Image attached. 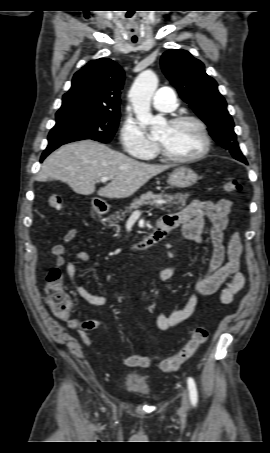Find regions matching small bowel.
Masks as SVG:
<instances>
[{"instance_id": "small-bowel-1", "label": "small bowel", "mask_w": 270, "mask_h": 453, "mask_svg": "<svg viewBox=\"0 0 270 453\" xmlns=\"http://www.w3.org/2000/svg\"><path fill=\"white\" fill-rule=\"evenodd\" d=\"M231 206L232 203L228 199H220L217 202L194 200L181 211L167 214L162 218L161 221L172 230L180 228L187 241L198 244L203 243L202 234L205 222L208 221L212 252L207 272L196 282L195 293L188 298L184 306L174 310L169 316L163 313L157 314L156 322L159 329L168 330L186 321L194 313L199 296L214 294L223 287L220 293V301L223 304H230L235 294L243 288L245 277L240 271L242 243L239 232L233 231L227 247L224 244V233L229 224ZM78 234V228L70 229L64 235L63 242L53 246L52 253L56 258L57 265L65 268L76 294L92 306H102L106 304L107 298L103 295L93 294L79 284L76 280L75 261L66 260L67 245ZM76 260L85 263L88 260V255L80 252L76 255ZM174 274L175 265L171 264L159 273L158 279L168 281ZM59 318L65 321L70 329L77 331L83 343L87 346L91 344L87 332L104 324L102 319L81 321L71 315ZM160 360V356L135 353L124 358L122 363L128 367H149Z\"/></svg>"}]
</instances>
